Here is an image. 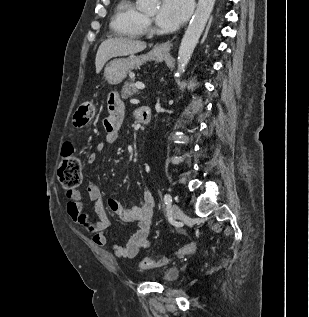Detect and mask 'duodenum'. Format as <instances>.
I'll return each instance as SVG.
<instances>
[{"label":"duodenum","instance_id":"duodenum-1","mask_svg":"<svg viewBox=\"0 0 309 317\" xmlns=\"http://www.w3.org/2000/svg\"><path fill=\"white\" fill-rule=\"evenodd\" d=\"M137 119L140 124L147 125L151 119V111L148 107L143 106L137 110Z\"/></svg>","mask_w":309,"mask_h":317}]
</instances>
